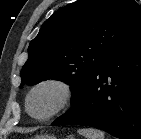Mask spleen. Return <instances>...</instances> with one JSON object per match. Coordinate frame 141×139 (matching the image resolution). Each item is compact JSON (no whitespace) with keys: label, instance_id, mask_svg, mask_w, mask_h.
I'll use <instances>...</instances> for the list:
<instances>
[{"label":"spleen","instance_id":"spleen-1","mask_svg":"<svg viewBox=\"0 0 141 139\" xmlns=\"http://www.w3.org/2000/svg\"><path fill=\"white\" fill-rule=\"evenodd\" d=\"M78 132L86 139H104V133L94 128H83L79 129Z\"/></svg>","mask_w":141,"mask_h":139}]
</instances>
